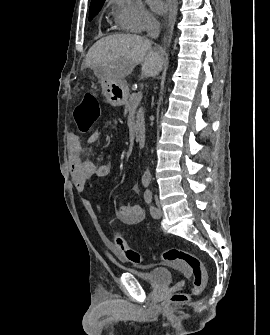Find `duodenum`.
I'll return each instance as SVG.
<instances>
[{"label":"duodenum","mask_w":270,"mask_h":335,"mask_svg":"<svg viewBox=\"0 0 270 335\" xmlns=\"http://www.w3.org/2000/svg\"><path fill=\"white\" fill-rule=\"evenodd\" d=\"M136 142L140 147H144L145 143H146V136L145 133L143 131H139L136 134Z\"/></svg>","instance_id":"410a0bca"}]
</instances>
